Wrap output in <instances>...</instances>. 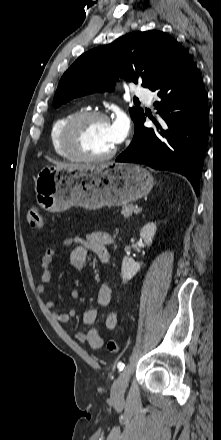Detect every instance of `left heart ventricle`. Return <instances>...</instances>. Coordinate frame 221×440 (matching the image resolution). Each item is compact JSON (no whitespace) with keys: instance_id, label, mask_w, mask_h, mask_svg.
Returning <instances> with one entry per match:
<instances>
[{"instance_id":"left-heart-ventricle-1","label":"left heart ventricle","mask_w":221,"mask_h":440,"mask_svg":"<svg viewBox=\"0 0 221 440\" xmlns=\"http://www.w3.org/2000/svg\"><path fill=\"white\" fill-rule=\"evenodd\" d=\"M77 144L89 155L107 153L115 146L110 122L96 118L86 120L78 129Z\"/></svg>"}]
</instances>
